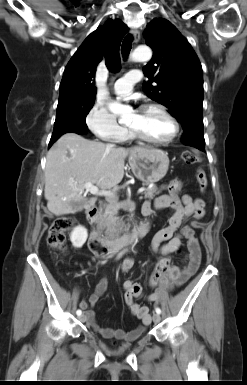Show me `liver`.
<instances>
[{"instance_id": "obj_1", "label": "liver", "mask_w": 247, "mask_h": 385, "mask_svg": "<svg viewBox=\"0 0 247 385\" xmlns=\"http://www.w3.org/2000/svg\"><path fill=\"white\" fill-rule=\"evenodd\" d=\"M132 150L63 134L46 157L44 196L56 216L74 213L95 203L82 196L83 185L93 182L102 190L117 186L124 176L125 158ZM78 204L73 208V204Z\"/></svg>"}]
</instances>
